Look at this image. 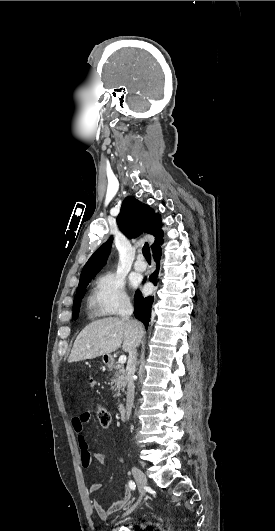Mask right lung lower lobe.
Masks as SVG:
<instances>
[{
    "label": "right lung lower lobe",
    "mask_w": 275,
    "mask_h": 531,
    "mask_svg": "<svg viewBox=\"0 0 275 531\" xmlns=\"http://www.w3.org/2000/svg\"><path fill=\"white\" fill-rule=\"evenodd\" d=\"M162 242L160 243V245ZM160 245L152 249L153 257L155 262L157 263V269L156 271L149 277V280L156 285L158 282V272H159V262L161 258V248ZM154 297H143L142 294L137 291L135 294V302H134V315L137 319H139L147 328L148 323L150 321L151 317V308L153 303Z\"/></svg>",
    "instance_id": "1"
}]
</instances>
